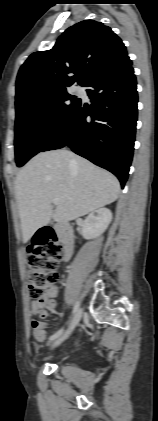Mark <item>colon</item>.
<instances>
[{"label": "colon", "instance_id": "1", "mask_svg": "<svg viewBox=\"0 0 158 421\" xmlns=\"http://www.w3.org/2000/svg\"><path fill=\"white\" fill-rule=\"evenodd\" d=\"M63 249L52 233H37L26 257L29 296L34 302L47 301L56 290L58 262Z\"/></svg>", "mask_w": 158, "mask_h": 421}]
</instances>
